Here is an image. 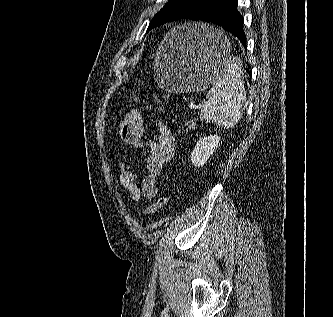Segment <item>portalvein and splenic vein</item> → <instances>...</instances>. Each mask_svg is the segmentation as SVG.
<instances>
[{"label": "portal vein and splenic vein", "mask_w": 333, "mask_h": 317, "mask_svg": "<svg viewBox=\"0 0 333 317\" xmlns=\"http://www.w3.org/2000/svg\"><path fill=\"white\" fill-rule=\"evenodd\" d=\"M205 105H206V104H205ZM198 107H202V105L200 104V105L196 106V105H194L193 103H190V104H189V108H190V109H196V108H198Z\"/></svg>", "instance_id": "1"}]
</instances>
